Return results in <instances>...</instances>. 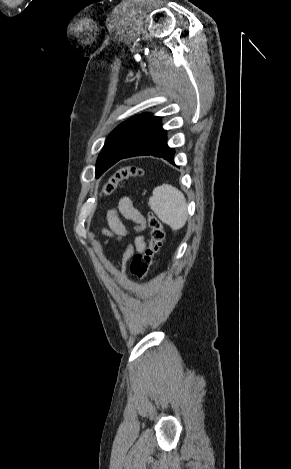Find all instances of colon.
<instances>
[{"label": "colon", "instance_id": "colon-1", "mask_svg": "<svg viewBox=\"0 0 291 469\" xmlns=\"http://www.w3.org/2000/svg\"><path fill=\"white\" fill-rule=\"evenodd\" d=\"M143 170L137 166L128 165L116 170L106 181L102 188L104 195L112 194L118 185L130 178L140 177ZM148 225L150 227V240L147 248L133 257L130 264V271L140 279H144L149 272L153 259L160 251L165 238V231L162 222L152 213L148 214Z\"/></svg>", "mask_w": 291, "mask_h": 469}]
</instances>
